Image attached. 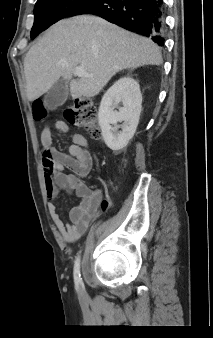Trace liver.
I'll return each mask as SVG.
<instances>
[{"instance_id": "liver-1", "label": "liver", "mask_w": 213, "mask_h": 338, "mask_svg": "<svg viewBox=\"0 0 213 338\" xmlns=\"http://www.w3.org/2000/svg\"><path fill=\"white\" fill-rule=\"evenodd\" d=\"M160 48L151 40L91 15L54 24L24 60L29 101L46 93L61 77L75 98L94 97L119 71L161 65ZM76 67L93 77L73 79Z\"/></svg>"}]
</instances>
